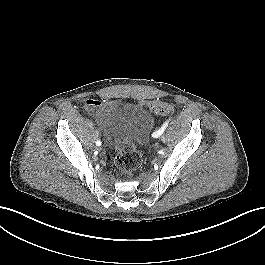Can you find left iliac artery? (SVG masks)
<instances>
[{
  "instance_id": "1",
  "label": "left iliac artery",
  "mask_w": 265,
  "mask_h": 265,
  "mask_svg": "<svg viewBox=\"0 0 265 265\" xmlns=\"http://www.w3.org/2000/svg\"><path fill=\"white\" fill-rule=\"evenodd\" d=\"M168 122L169 121H166L159 130L155 131L152 134V137L153 138H158L159 136H161L163 134V132L165 131L166 127L168 126Z\"/></svg>"
}]
</instances>
